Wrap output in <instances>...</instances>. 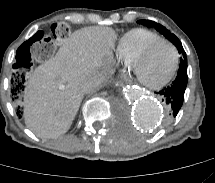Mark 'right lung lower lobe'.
Wrapping results in <instances>:
<instances>
[{
  "mask_svg": "<svg viewBox=\"0 0 215 183\" xmlns=\"http://www.w3.org/2000/svg\"><path fill=\"white\" fill-rule=\"evenodd\" d=\"M19 90H21V83H16V85H14L13 89H12V93L16 96L19 92Z\"/></svg>",
  "mask_w": 215,
  "mask_h": 183,
  "instance_id": "obj_1",
  "label": "right lung lower lobe"
}]
</instances>
